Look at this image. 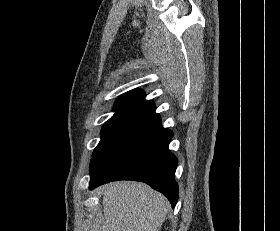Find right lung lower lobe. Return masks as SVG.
I'll return each instance as SVG.
<instances>
[{"mask_svg": "<svg viewBox=\"0 0 280 231\" xmlns=\"http://www.w3.org/2000/svg\"><path fill=\"white\" fill-rule=\"evenodd\" d=\"M172 136L160 117L129 128L91 160L89 189L116 180L141 181L164 194L174 208L178 185L177 159L168 149Z\"/></svg>", "mask_w": 280, "mask_h": 231, "instance_id": "98d812e1", "label": "right lung lower lobe"}]
</instances>
